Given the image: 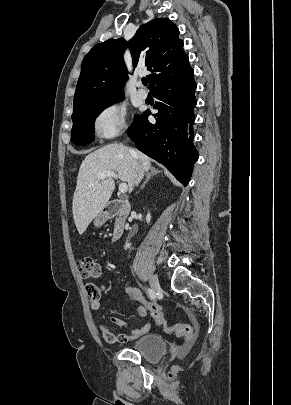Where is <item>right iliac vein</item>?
<instances>
[{
  "label": "right iliac vein",
  "mask_w": 291,
  "mask_h": 405,
  "mask_svg": "<svg viewBox=\"0 0 291 405\" xmlns=\"http://www.w3.org/2000/svg\"><path fill=\"white\" fill-rule=\"evenodd\" d=\"M149 284L154 293L160 290V284L156 276H151L149 278Z\"/></svg>",
  "instance_id": "1"
}]
</instances>
